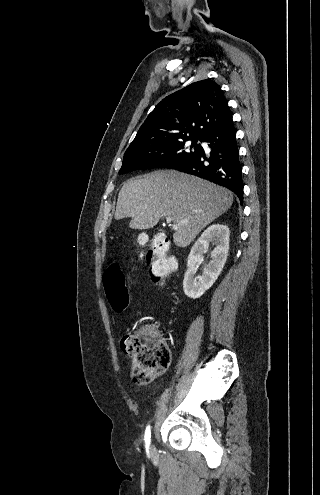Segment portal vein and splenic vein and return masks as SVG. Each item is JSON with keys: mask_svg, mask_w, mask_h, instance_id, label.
I'll return each mask as SVG.
<instances>
[{"mask_svg": "<svg viewBox=\"0 0 320 495\" xmlns=\"http://www.w3.org/2000/svg\"><path fill=\"white\" fill-rule=\"evenodd\" d=\"M166 221H167L168 223H170V222L172 221V218H171V217H167V218H166ZM176 228H177V227H176L175 225H173V229H176Z\"/></svg>", "mask_w": 320, "mask_h": 495, "instance_id": "1", "label": "portal vein and splenic vein"}]
</instances>
